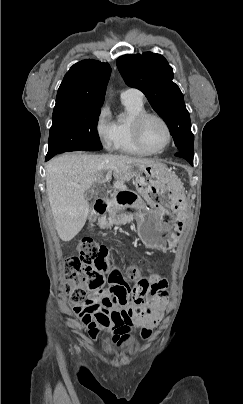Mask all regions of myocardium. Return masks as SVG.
<instances>
[{
	"instance_id": "obj_1",
	"label": "myocardium",
	"mask_w": 243,
	"mask_h": 404,
	"mask_svg": "<svg viewBox=\"0 0 243 404\" xmlns=\"http://www.w3.org/2000/svg\"><path fill=\"white\" fill-rule=\"evenodd\" d=\"M143 97H144V95H143ZM152 116L160 119L163 122V124L165 125L167 132H168V141H167L166 145L160 149H153V148L149 147L142 139L141 133H140L142 123L147 118L152 117ZM131 132H132V135H133L136 143L142 149H144L147 152L152 153V154L161 153V152L167 150L173 142V130H172L170 123L162 114L155 112V111H143L137 117H135L131 122Z\"/></svg>"
}]
</instances>
